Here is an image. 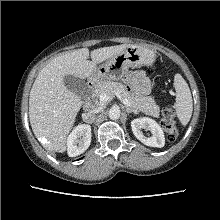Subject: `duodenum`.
<instances>
[{
    "label": "duodenum",
    "mask_w": 220,
    "mask_h": 220,
    "mask_svg": "<svg viewBox=\"0 0 220 220\" xmlns=\"http://www.w3.org/2000/svg\"><path fill=\"white\" fill-rule=\"evenodd\" d=\"M95 91H96V82L94 80H90L88 82L89 101L86 105L87 110H91V109L96 107V101H95L96 94H95Z\"/></svg>",
    "instance_id": "duodenum-1"
}]
</instances>
